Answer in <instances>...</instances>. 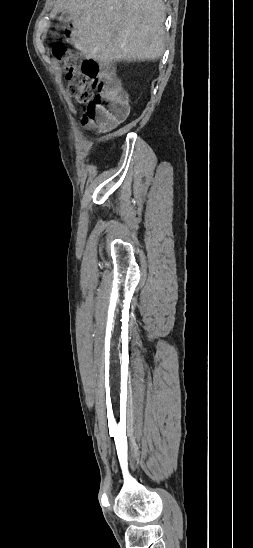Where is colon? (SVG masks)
Here are the masks:
<instances>
[{
    "instance_id": "colon-1",
    "label": "colon",
    "mask_w": 253,
    "mask_h": 548,
    "mask_svg": "<svg viewBox=\"0 0 253 548\" xmlns=\"http://www.w3.org/2000/svg\"><path fill=\"white\" fill-rule=\"evenodd\" d=\"M54 57L67 72V93L86 103L82 121L98 130L114 127L128 114L127 95L109 68L101 70L96 61L82 59L62 44L53 47Z\"/></svg>"
}]
</instances>
